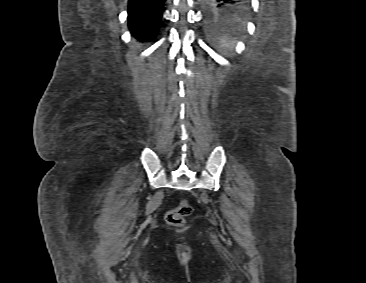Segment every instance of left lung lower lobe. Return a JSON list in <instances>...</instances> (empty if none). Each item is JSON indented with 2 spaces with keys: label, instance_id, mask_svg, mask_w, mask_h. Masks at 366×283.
<instances>
[{
  "label": "left lung lower lobe",
  "instance_id": "0a47b994",
  "mask_svg": "<svg viewBox=\"0 0 366 283\" xmlns=\"http://www.w3.org/2000/svg\"><path fill=\"white\" fill-rule=\"evenodd\" d=\"M212 15H229L248 6L250 0H200Z\"/></svg>",
  "mask_w": 366,
  "mask_h": 283
}]
</instances>
